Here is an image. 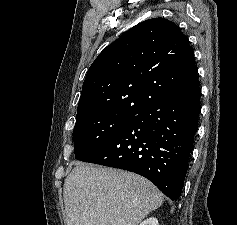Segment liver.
<instances>
[{
    "label": "liver",
    "mask_w": 237,
    "mask_h": 225,
    "mask_svg": "<svg viewBox=\"0 0 237 225\" xmlns=\"http://www.w3.org/2000/svg\"><path fill=\"white\" fill-rule=\"evenodd\" d=\"M67 225H138L164 196L135 173L79 162L66 177Z\"/></svg>",
    "instance_id": "liver-1"
}]
</instances>
